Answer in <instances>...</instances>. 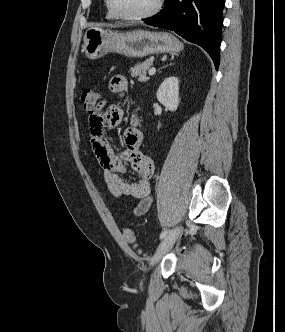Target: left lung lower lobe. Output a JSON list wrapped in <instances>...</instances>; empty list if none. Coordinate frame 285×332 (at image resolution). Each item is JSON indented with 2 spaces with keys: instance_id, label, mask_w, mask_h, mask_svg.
Segmentation results:
<instances>
[{
  "instance_id": "0a47b994",
  "label": "left lung lower lobe",
  "mask_w": 285,
  "mask_h": 332,
  "mask_svg": "<svg viewBox=\"0 0 285 332\" xmlns=\"http://www.w3.org/2000/svg\"><path fill=\"white\" fill-rule=\"evenodd\" d=\"M225 0H167L165 8L144 19L149 25L175 31L204 48L219 66L222 11Z\"/></svg>"
}]
</instances>
